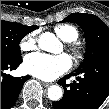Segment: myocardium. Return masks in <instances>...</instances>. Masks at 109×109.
<instances>
[{"instance_id": "obj_1", "label": "myocardium", "mask_w": 109, "mask_h": 109, "mask_svg": "<svg viewBox=\"0 0 109 109\" xmlns=\"http://www.w3.org/2000/svg\"><path fill=\"white\" fill-rule=\"evenodd\" d=\"M69 51L72 56L73 62L79 64L84 58L83 48L75 42H72L69 45Z\"/></svg>"}]
</instances>
